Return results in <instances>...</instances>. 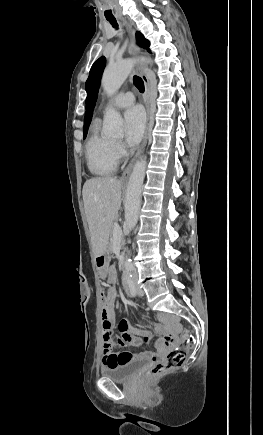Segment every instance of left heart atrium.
<instances>
[{"label": "left heart atrium", "mask_w": 263, "mask_h": 435, "mask_svg": "<svg viewBox=\"0 0 263 435\" xmlns=\"http://www.w3.org/2000/svg\"><path fill=\"white\" fill-rule=\"evenodd\" d=\"M125 141L129 146L139 143L145 128V116L140 107H132L126 111L125 116Z\"/></svg>", "instance_id": "left-heart-atrium-1"}]
</instances>
